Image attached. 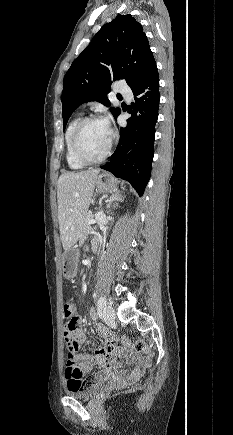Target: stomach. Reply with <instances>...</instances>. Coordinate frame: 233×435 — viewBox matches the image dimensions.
<instances>
[{
    "label": "stomach",
    "mask_w": 233,
    "mask_h": 435,
    "mask_svg": "<svg viewBox=\"0 0 233 435\" xmlns=\"http://www.w3.org/2000/svg\"><path fill=\"white\" fill-rule=\"evenodd\" d=\"M96 191L99 193H113L118 190L114 177L109 173L99 174L95 180ZM79 252L69 248L62 254V271L67 279L74 278L78 272Z\"/></svg>",
    "instance_id": "obj_1"
}]
</instances>
